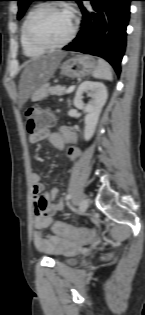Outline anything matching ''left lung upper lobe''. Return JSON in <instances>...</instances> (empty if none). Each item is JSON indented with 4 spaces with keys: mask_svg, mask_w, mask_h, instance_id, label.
<instances>
[{
    "mask_svg": "<svg viewBox=\"0 0 145 315\" xmlns=\"http://www.w3.org/2000/svg\"><path fill=\"white\" fill-rule=\"evenodd\" d=\"M16 1H18V7H19L17 18L21 19L25 13L27 7L29 6V4L35 0H16ZM73 1L78 2L79 0H73Z\"/></svg>",
    "mask_w": 145,
    "mask_h": 315,
    "instance_id": "left-lung-upper-lobe-1",
    "label": "left lung upper lobe"
}]
</instances>
